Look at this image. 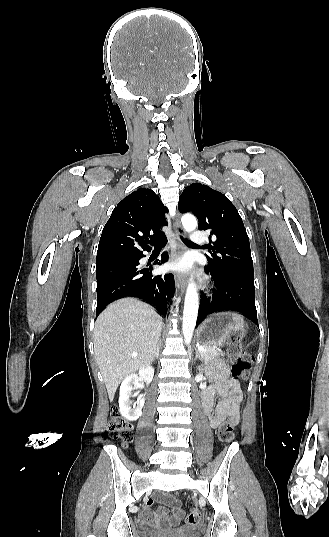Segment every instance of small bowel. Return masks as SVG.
<instances>
[{
  "mask_svg": "<svg viewBox=\"0 0 329 537\" xmlns=\"http://www.w3.org/2000/svg\"><path fill=\"white\" fill-rule=\"evenodd\" d=\"M210 377L215 381V384L203 392L202 402L211 427L217 429L226 420H234L235 422L238 420L242 393L239 381L230 377V369L224 363L218 362L214 365L210 370ZM216 394L219 395L220 400L214 405ZM156 499L166 506H160L154 512L151 508L154 499L149 498L145 503V520L151 525L163 529L178 526L183 517L180 506L174 502L169 494H164Z\"/></svg>",
  "mask_w": 329,
  "mask_h": 537,
  "instance_id": "1",
  "label": "small bowel"
}]
</instances>
